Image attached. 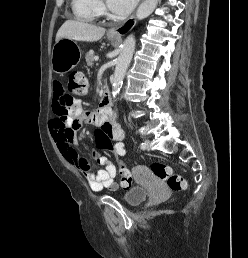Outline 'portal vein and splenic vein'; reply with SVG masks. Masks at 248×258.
<instances>
[{
    "label": "portal vein and splenic vein",
    "instance_id": "1",
    "mask_svg": "<svg viewBox=\"0 0 248 258\" xmlns=\"http://www.w3.org/2000/svg\"><path fill=\"white\" fill-rule=\"evenodd\" d=\"M94 59H95V61H98V60H99V57H98V56H95Z\"/></svg>",
    "mask_w": 248,
    "mask_h": 258
}]
</instances>
